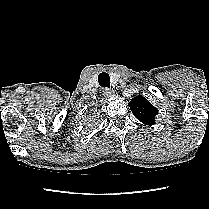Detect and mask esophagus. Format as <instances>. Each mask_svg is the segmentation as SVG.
<instances>
[{
  "label": "esophagus",
  "instance_id": "34e87169",
  "mask_svg": "<svg viewBox=\"0 0 209 209\" xmlns=\"http://www.w3.org/2000/svg\"><path fill=\"white\" fill-rule=\"evenodd\" d=\"M103 95L106 98H110V97H112L114 95V91L111 90V89L105 88L104 91H103Z\"/></svg>",
  "mask_w": 209,
  "mask_h": 209
}]
</instances>
